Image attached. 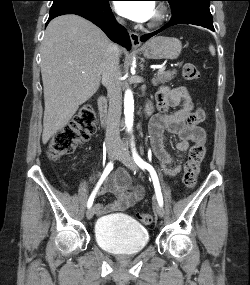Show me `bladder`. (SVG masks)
Segmentation results:
<instances>
[{"instance_id": "31cf9c89", "label": "bladder", "mask_w": 250, "mask_h": 285, "mask_svg": "<svg viewBox=\"0 0 250 285\" xmlns=\"http://www.w3.org/2000/svg\"><path fill=\"white\" fill-rule=\"evenodd\" d=\"M94 238L103 250L119 256L137 254L149 242L145 227L122 216L100 218L94 227Z\"/></svg>"}]
</instances>
